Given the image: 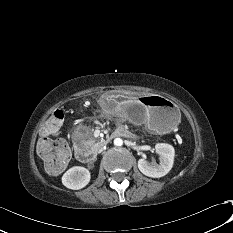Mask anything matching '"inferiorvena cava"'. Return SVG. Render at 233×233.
I'll use <instances>...</instances> for the list:
<instances>
[{"label": "inferior vena cava", "mask_w": 233, "mask_h": 233, "mask_svg": "<svg viewBox=\"0 0 233 233\" xmlns=\"http://www.w3.org/2000/svg\"><path fill=\"white\" fill-rule=\"evenodd\" d=\"M103 151V148L102 147H99L98 148V152L100 153V152H102Z\"/></svg>", "instance_id": "602c4592"}]
</instances>
